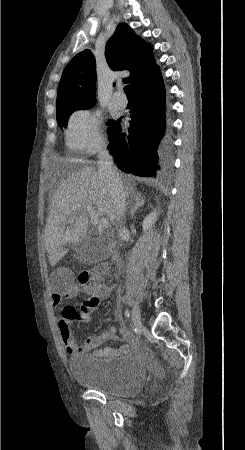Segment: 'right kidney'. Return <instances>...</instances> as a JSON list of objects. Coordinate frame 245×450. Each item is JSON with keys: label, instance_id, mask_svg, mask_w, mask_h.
Masks as SVG:
<instances>
[{"label": "right kidney", "instance_id": "1", "mask_svg": "<svg viewBox=\"0 0 245 450\" xmlns=\"http://www.w3.org/2000/svg\"><path fill=\"white\" fill-rule=\"evenodd\" d=\"M157 219V212L150 213L143 221V230H149Z\"/></svg>", "mask_w": 245, "mask_h": 450}]
</instances>
